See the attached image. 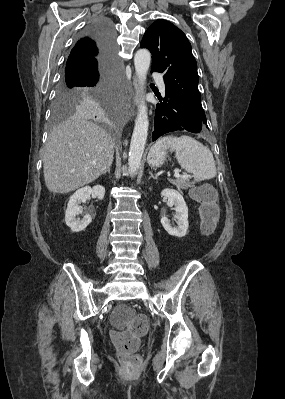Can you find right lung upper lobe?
Listing matches in <instances>:
<instances>
[{"mask_svg": "<svg viewBox=\"0 0 285 399\" xmlns=\"http://www.w3.org/2000/svg\"><path fill=\"white\" fill-rule=\"evenodd\" d=\"M99 54L100 50L96 39L90 34L84 35L71 50L66 65L84 60L92 62L96 60Z\"/></svg>", "mask_w": 285, "mask_h": 399, "instance_id": "cb5924a9", "label": "right lung upper lobe"}]
</instances>
